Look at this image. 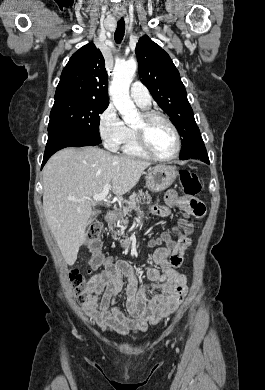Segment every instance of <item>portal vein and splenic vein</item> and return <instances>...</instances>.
<instances>
[{
  "label": "portal vein and splenic vein",
  "instance_id": "1",
  "mask_svg": "<svg viewBox=\"0 0 265 390\" xmlns=\"http://www.w3.org/2000/svg\"><path fill=\"white\" fill-rule=\"evenodd\" d=\"M110 189H111V184L110 183L105 184V186L103 188V191L101 193H99V194H95L93 196V200L94 201L104 200L107 197ZM68 199L70 201H73V202L81 203V202H84L87 198L75 199V198L69 197Z\"/></svg>",
  "mask_w": 265,
  "mask_h": 390
}]
</instances>
